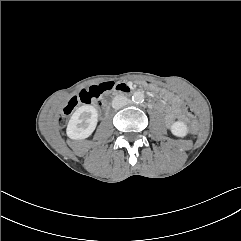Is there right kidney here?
I'll return each mask as SVG.
<instances>
[{"instance_id": "right-kidney-1", "label": "right kidney", "mask_w": 241, "mask_h": 241, "mask_svg": "<svg viewBox=\"0 0 241 241\" xmlns=\"http://www.w3.org/2000/svg\"><path fill=\"white\" fill-rule=\"evenodd\" d=\"M97 122V109L83 105L72 114L66 129L67 136L74 140L88 138L94 132Z\"/></svg>"}]
</instances>
